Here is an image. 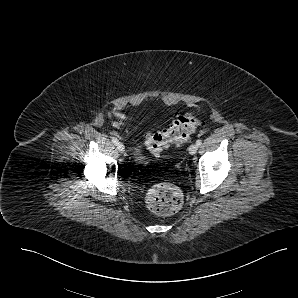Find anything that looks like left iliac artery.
<instances>
[{
  "instance_id": "obj_1",
  "label": "left iliac artery",
  "mask_w": 298,
  "mask_h": 298,
  "mask_svg": "<svg viewBox=\"0 0 298 298\" xmlns=\"http://www.w3.org/2000/svg\"><path fill=\"white\" fill-rule=\"evenodd\" d=\"M201 144H202V140L198 139V140L196 141V145H197V146H200Z\"/></svg>"
}]
</instances>
